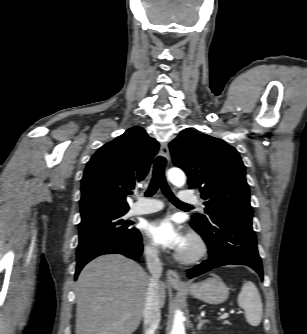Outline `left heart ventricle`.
<instances>
[{"mask_svg": "<svg viewBox=\"0 0 307 334\" xmlns=\"http://www.w3.org/2000/svg\"><path fill=\"white\" fill-rule=\"evenodd\" d=\"M183 249H184L185 251L190 250V245H189L188 243H186Z\"/></svg>", "mask_w": 307, "mask_h": 334, "instance_id": "obj_1", "label": "left heart ventricle"}]
</instances>
